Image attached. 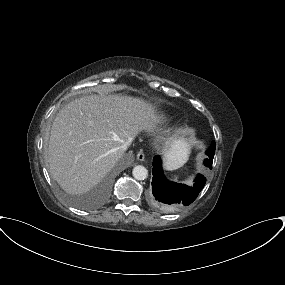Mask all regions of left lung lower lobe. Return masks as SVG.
Masks as SVG:
<instances>
[{"mask_svg":"<svg viewBox=\"0 0 285 285\" xmlns=\"http://www.w3.org/2000/svg\"><path fill=\"white\" fill-rule=\"evenodd\" d=\"M214 153H215V142ZM206 166V165H205ZM212 169V166H207ZM153 180L150 201L154 207L163 212H175L190 205L203 189L206 178L198 174L192 187L169 181L162 170L160 156L153 158Z\"/></svg>","mask_w":285,"mask_h":285,"instance_id":"1","label":"left lung lower lobe"}]
</instances>
